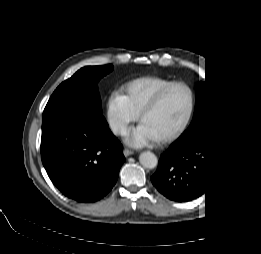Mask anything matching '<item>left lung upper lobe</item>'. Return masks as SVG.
Masks as SVG:
<instances>
[{"label": "left lung upper lobe", "mask_w": 261, "mask_h": 254, "mask_svg": "<svg viewBox=\"0 0 261 254\" xmlns=\"http://www.w3.org/2000/svg\"><path fill=\"white\" fill-rule=\"evenodd\" d=\"M216 107V100L203 90V84L196 92V103L193 120L182 137H194L210 130L221 128L218 118L210 119L212 109Z\"/></svg>", "instance_id": "obj_1"}]
</instances>
